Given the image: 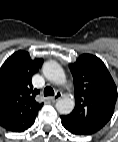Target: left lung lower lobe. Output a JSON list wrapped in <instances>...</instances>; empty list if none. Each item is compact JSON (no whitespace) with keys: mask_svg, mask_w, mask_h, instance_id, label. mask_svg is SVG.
Wrapping results in <instances>:
<instances>
[{"mask_svg":"<svg viewBox=\"0 0 118 142\" xmlns=\"http://www.w3.org/2000/svg\"><path fill=\"white\" fill-rule=\"evenodd\" d=\"M61 119H62V125L70 133L75 134V135H89L88 133H86L84 130H82L79 126H77L73 122L63 119V118Z\"/></svg>","mask_w":118,"mask_h":142,"instance_id":"left-lung-lower-lobe-1","label":"left lung lower lobe"}]
</instances>
